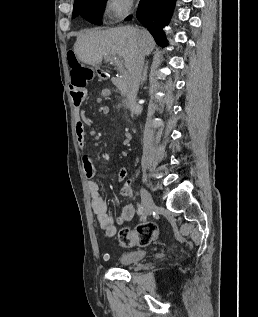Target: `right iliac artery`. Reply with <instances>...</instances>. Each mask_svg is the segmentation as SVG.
Masks as SVG:
<instances>
[{"mask_svg":"<svg viewBox=\"0 0 258 317\" xmlns=\"http://www.w3.org/2000/svg\"><path fill=\"white\" fill-rule=\"evenodd\" d=\"M137 207H138V214L142 215L143 214V207L137 202Z\"/></svg>","mask_w":258,"mask_h":317,"instance_id":"right-iliac-artery-1","label":"right iliac artery"}]
</instances>
